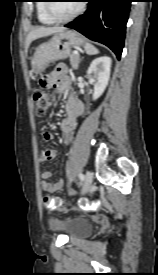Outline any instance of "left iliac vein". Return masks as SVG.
Returning a JSON list of instances; mask_svg holds the SVG:
<instances>
[{
    "instance_id": "1",
    "label": "left iliac vein",
    "mask_w": 158,
    "mask_h": 275,
    "mask_svg": "<svg viewBox=\"0 0 158 275\" xmlns=\"http://www.w3.org/2000/svg\"><path fill=\"white\" fill-rule=\"evenodd\" d=\"M93 181V175L90 171H87L84 176V187H83V192L88 193L91 189Z\"/></svg>"
}]
</instances>
